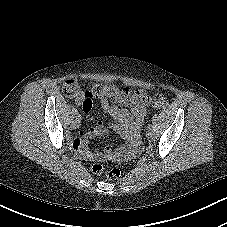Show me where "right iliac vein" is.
Returning a JSON list of instances; mask_svg holds the SVG:
<instances>
[{
    "mask_svg": "<svg viewBox=\"0 0 227 227\" xmlns=\"http://www.w3.org/2000/svg\"><path fill=\"white\" fill-rule=\"evenodd\" d=\"M79 123H80V119H79V118H76V119L72 122L71 127H72L73 129H76V128L79 127Z\"/></svg>",
    "mask_w": 227,
    "mask_h": 227,
    "instance_id": "1",
    "label": "right iliac vein"
}]
</instances>
